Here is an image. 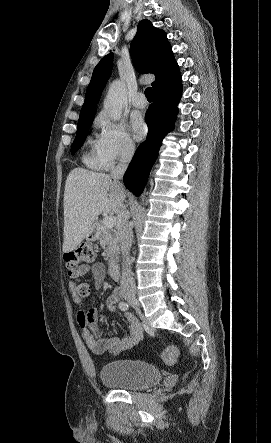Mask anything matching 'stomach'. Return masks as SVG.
<instances>
[{
    "instance_id": "1",
    "label": "stomach",
    "mask_w": 271,
    "mask_h": 443,
    "mask_svg": "<svg viewBox=\"0 0 271 443\" xmlns=\"http://www.w3.org/2000/svg\"><path fill=\"white\" fill-rule=\"evenodd\" d=\"M99 237H100V231L98 223H94L92 231H90V233H87L86 239H88V241H96V239H99Z\"/></svg>"
}]
</instances>
